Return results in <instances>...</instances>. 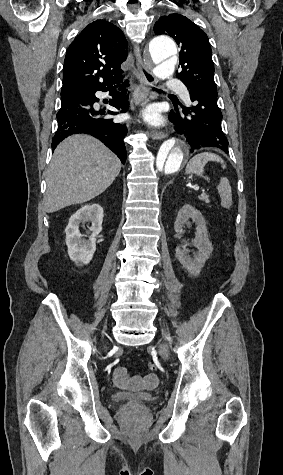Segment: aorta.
Masks as SVG:
<instances>
[{
  "mask_svg": "<svg viewBox=\"0 0 283 475\" xmlns=\"http://www.w3.org/2000/svg\"><path fill=\"white\" fill-rule=\"evenodd\" d=\"M155 74L160 79L169 78L175 69L177 47L167 36H159L149 43ZM189 156V145L184 139L170 138L162 143L153 162L152 178L164 182L176 174Z\"/></svg>",
  "mask_w": 283,
  "mask_h": 475,
  "instance_id": "obj_1",
  "label": "aorta"
}]
</instances>
